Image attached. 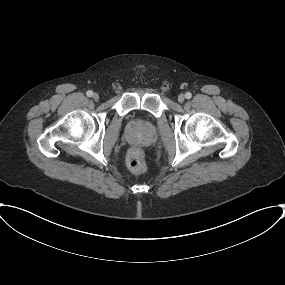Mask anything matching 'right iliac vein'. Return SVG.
Masks as SVG:
<instances>
[{"label":"right iliac vein","mask_w":285,"mask_h":285,"mask_svg":"<svg viewBox=\"0 0 285 285\" xmlns=\"http://www.w3.org/2000/svg\"><path fill=\"white\" fill-rule=\"evenodd\" d=\"M92 97H93V99H94L95 101H98V100H99V95H98L97 93H94V94L92 95Z\"/></svg>","instance_id":"obj_1"}]
</instances>
